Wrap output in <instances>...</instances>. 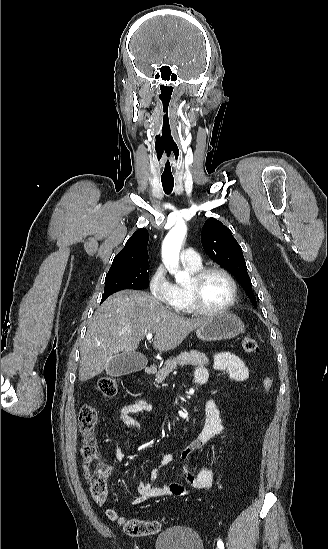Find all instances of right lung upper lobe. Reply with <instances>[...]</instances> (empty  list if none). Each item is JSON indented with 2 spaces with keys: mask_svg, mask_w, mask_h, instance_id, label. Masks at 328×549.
Instances as JSON below:
<instances>
[{
  "mask_svg": "<svg viewBox=\"0 0 328 549\" xmlns=\"http://www.w3.org/2000/svg\"><path fill=\"white\" fill-rule=\"evenodd\" d=\"M148 240L149 233L147 229L141 228L134 232V234L126 242L125 247L114 258L109 271L124 267L137 261L147 260Z\"/></svg>",
  "mask_w": 328,
  "mask_h": 549,
  "instance_id": "right-lung-upper-lobe-1",
  "label": "right lung upper lobe"
}]
</instances>
